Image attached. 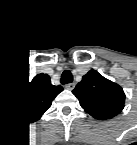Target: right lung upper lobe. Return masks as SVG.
Returning <instances> with one entry per match:
<instances>
[{"label":"right lung upper lobe","mask_w":137,"mask_h":145,"mask_svg":"<svg viewBox=\"0 0 137 145\" xmlns=\"http://www.w3.org/2000/svg\"><path fill=\"white\" fill-rule=\"evenodd\" d=\"M62 90L51 83L47 74H38L15 96L14 111L23 121L38 119Z\"/></svg>","instance_id":"cb5924a9"}]
</instances>
